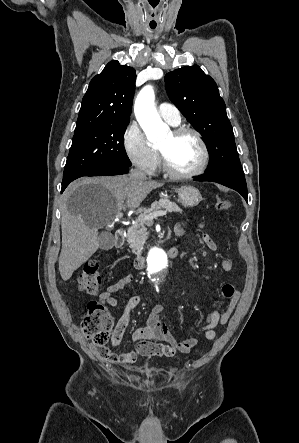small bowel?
Listing matches in <instances>:
<instances>
[{
	"label": "small bowel",
	"mask_w": 299,
	"mask_h": 443,
	"mask_svg": "<svg viewBox=\"0 0 299 443\" xmlns=\"http://www.w3.org/2000/svg\"><path fill=\"white\" fill-rule=\"evenodd\" d=\"M186 225L184 222H179L175 226V233L179 236L184 235ZM203 241L209 250H216L217 244L215 240L207 233L203 234ZM221 267L225 271H230L233 268V262L229 258H224L221 261ZM133 281V275L127 274L121 277L116 282L108 285L99 294V300L102 303H106L112 307H116L119 304L115 293L122 290ZM221 295L228 303L223 312H219L216 309V302L213 301L214 310L211 311L206 321L200 326V329L204 332L205 338L212 340L216 336L215 328L219 325H224L229 320L239 300V292L232 284H224L221 288ZM140 297L133 295L129 298L125 305L123 313L119 318L112 338V346L116 347L120 344L126 328L130 322L131 311L139 304ZM163 306L156 304L151 308L147 319V325L136 329L133 332L132 339L136 344V349L127 351L121 354H115L109 351V355L106 359L110 362L117 364H130L133 363L139 354H162L165 356H174L176 353H189L197 344V340L193 337H189L178 341L169 327L162 318ZM155 341L164 343H155Z\"/></svg>",
	"instance_id": "1"
}]
</instances>
